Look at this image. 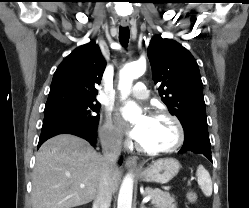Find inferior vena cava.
<instances>
[{"mask_svg": "<svg viewBox=\"0 0 249 208\" xmlns=\"http://www.w3.org/2000/svg\"><path fill=\"white\" fill-rule=\"evenodd\" d=\"M101 145L103 153L102 181L93 208H109L111 205L112 189L110 182L121 154L122 136L115 131L109 132L101 138Z\"/></svg>", "mask_w": 249, "mask_h": 208, "instance_id": "602c4592", "label": "inferior vena cava"}]
</instances>
